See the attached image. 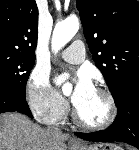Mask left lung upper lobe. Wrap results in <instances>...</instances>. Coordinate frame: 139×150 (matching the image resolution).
<instances>
[{
  "instance_id": "5c2ea615",
  "label": "left lung upper lobe",
  "mask_w": 139,
  "mask_h": 150,
  "mask_svg": "<svg viewBox=\"0 0 139 150\" xmlns=\"http://www.w3.org/2000/svg\"><path fill=\"white\" fill-rule=\"evenodd\" d=\"M76 5L92 58L117 102L139 79V2L77 0Z\"/></svg>"
}]
</instances>
